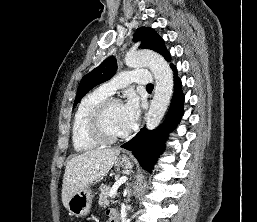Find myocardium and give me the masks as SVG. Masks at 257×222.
<instances>
[{
	"label": "myocardium",
	"instance_id": "f54148a6",
	"mask_svg": "<svg viewBox=\"0 0 257 222\" xmlns=\"http://www.w3.org/2000/svg\"><path fill=\"white\" fill-rule=\"evenodd\" d=\"M115 105H122L121 101L117 98H106L100 102L90 113L87 129L91 137L99 144L108 145L117 143L125 139V135L111 136L108 135L104 128V119L107 112Z\"/></svg>",
	"mask_w": 257,
	"mask_h": 222
}]
</instances>
